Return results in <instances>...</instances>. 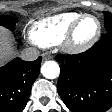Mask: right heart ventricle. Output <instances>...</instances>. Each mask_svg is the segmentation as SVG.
I'll list each match as a JSON object with an SVG mask.
<instances>
[{
  "label": "right heart ventricle",
  "mask_w": 112,
  "mask_h": 112,
  "mask_svg": "<svg viewBox=\"0 0 112 112\" xmlns=\"http://www.w3.org/2000/svg\"><path fill=\"white\" fill-rule=\"evenodd\" d=\"M80 15L82 13L63 12L35 22L29 32L31 41L41 47L61 43L70 26Z\"/></svg>",
  "instance_id": "1"
}]
</instances>
